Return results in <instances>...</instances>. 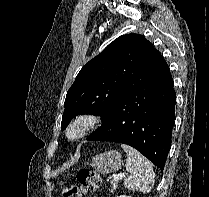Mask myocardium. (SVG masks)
I'll return each instance as SVG.
<instances>
[{"instance_id": "myocardium-1", "label": "myocardium", "mask_w": 209, "mask_h": 197, "mask_svg": "<svg viewBox=\"0 0 209 197\" xmlns=\"http://www.w3.org/2000/svg\"><path fill=\"white\" fill-rule=\"evenodd\" d=\"M101 123V117L94 112H81L73 117L64 131L68 143L75 144L85 139Z\"/></svg>"}]
</instances>
